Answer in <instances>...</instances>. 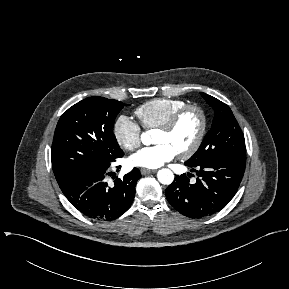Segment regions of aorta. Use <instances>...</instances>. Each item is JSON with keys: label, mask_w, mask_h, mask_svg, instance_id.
I'll list each match as a JSON object with an SVG mask.
<instances>
[{"label": "aorta", "mask_w": 289, "mask_h": 289, "mask_svg": "<svg viewBox=\"0 0 289 289\" xmlns=\"http://www.w3.org/2000/svg\"><path fill=\"white\" fill-rule=\"evenodd\" d=\"M141 141L143 144L148 145L151 142V138L148 133L141 135ZM157 179L161 184L170 185L174 180V174L170 169L163 168L158 171Z\"/></svg>", "instance_id": "obj_1"}]
</instances>
